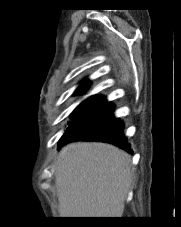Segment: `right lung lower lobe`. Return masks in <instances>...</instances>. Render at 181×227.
<instances>
[{
	"label": "right lung lower lobe",
	"instance_id": "1",
	"mask_svg": "<svg viewBox=\"0 0 181 227\" xmlns=\"http://www.w3.org/2000/svg\"><path fill=\"white\" fill-rule=\"evenodd\" d=\"M114 105L107 103L96 113L69 127L58 143V147L72 141H102L132 153L124 137V125L112 114Z\"/></svg>",
	"mask_w": 181,
	"mask_h": 227
}]
</instances>
